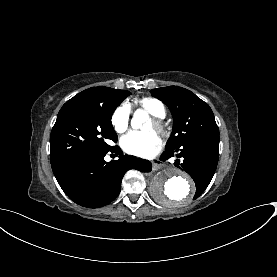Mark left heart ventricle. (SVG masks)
Here are the masks:
<instances>
[{
  "label": "left heart ventricle",
  "instance_id": "b2bd125f",
  "mask_svg": "<svg viewBox=\"0 0 277 277\" xmlns=\"http://www.w3.org/2000/svg\"><path fill=\"white\" fill-rule=\"evenodd\" d=\"M152 128H153V123H152V121H150V123L147 126V130L152 129Z\"/></svg>",
  "mask_w": 277,
  "mask_h": 277
}]
</instances>
